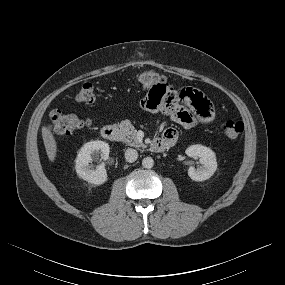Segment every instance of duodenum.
<instances>
[{
  "mask_svg": "<svg viewBox=\"0 0 285 285\" xmlns=\"http://www.w3.org/2000/svg\"><path fill=\"white\" fill-rule=\"evenodd\" d=\"M101 136L111 142L119 139V130L114 125H105L101 128ZM171 144L163 139H156L151 144V150L155 153L164 152Z\"/></svg>",
  "mask_w": 285,
  "mask_h": 285,
  "instance_id": "duodenum-1",
  "label": "duodenum"
}]
</instances>
